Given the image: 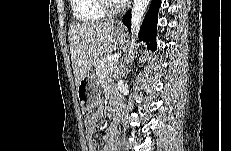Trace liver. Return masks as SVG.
Masks as SVG:
<instances>
[{"label": "liver", "mask_w": 231, "mask_h": 151, "mask_svg": "<svg viewBox=\"0 0 231 151\" xmlns=\"http://www.w3.org/2000/svg\"><path fill=\"white\" fill-rule=\"evenodd\" d=\"M113 22H85L70 27L68 39L75 85L85 76L89 68L114 44Z\"/></svg>", "instance_id": "liver-1"}]
</instances>
